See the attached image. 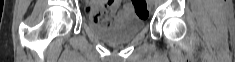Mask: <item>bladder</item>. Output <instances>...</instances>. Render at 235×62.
I'll return each instance as SVG.
<instances>
[{"mask_svg": "<svg viewBox=\"0 0 235 62\" xmlns=\"http://www.w3.org/2000/svg\"><path fill=\"white\" fill-rule=\"evenodd\" d=\"M122 12L116 15L109 25L97 22H89L88 26L92 33L99 39L111 43L119 44L132 40L145 27L144 19L137 14Z\"/></svg>", "mask_w": 235, "mask_h": 62, "instance_id": "bladder-1", "label": "bladder"}]
</instances>
